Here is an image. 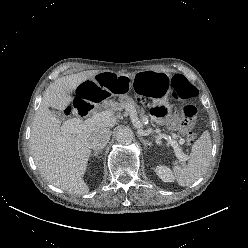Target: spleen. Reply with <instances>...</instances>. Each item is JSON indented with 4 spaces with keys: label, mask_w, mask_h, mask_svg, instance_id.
Listing matches in <instances>:
<instances>
[{
    "label": "spleen",
    "mask_w": 248,
    "mask_h": 248,
    "mask_svg": "<svg viewBox=\"0 0 248 248\" xmlns=\"http://www.w3.org/2000/svg\"><path fill=\"white\" fill-rule=\"evenodd\" d=\"M212 141L208 131L194 142L192 152L187 158L186 166L181 167L174 162L173 172L180 186H190L206 172L211 161Z\"/></svg>",
    "instance_id": "1"
}]
</instances>
